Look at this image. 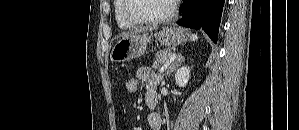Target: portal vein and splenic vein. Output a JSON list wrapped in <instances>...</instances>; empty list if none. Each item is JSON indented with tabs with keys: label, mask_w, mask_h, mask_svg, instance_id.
<instances>
[{
	"label": "portal vein and splenic vein",
	"mask_w": 299,
	"mask_h": 130,
	"mask_svg": "<svg viewBox=\"0 0 299 130\" xmlns=\"http://www.w3.org/2000/svg\"><path fill=\"white\" fill-rule=\"evenodd\" d=\"M176 57H177V55H176L175 53H173V54L170 56V59H169L167 65L161 67V69H160L159 71H160L161 73L164 72V71L167 69L168 65H169L171 62H173V61L175 60Z\"/></svg>",
	"instance_id": "portal-vein-and-splenic-vein-1"
}]
</instances>
